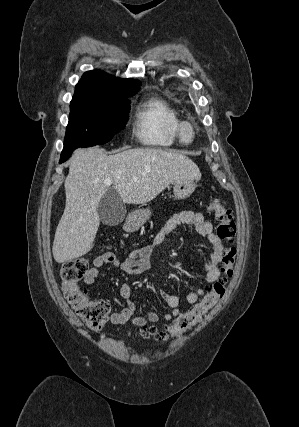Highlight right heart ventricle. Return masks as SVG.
<instances>
[{
	"label": "right heart ventricle",
	"instance_id": "right-heart-ventricle-1",
	"mask_svg": "<svg viewBox=\"0 0 299 427\" xmlns=\"http://www.w3.org/2000/svg\"><path fill=\"white\" fill-rule=\"evenodd\" d=\"M179 120L177 110L168 101L149 95L136 106L133 133L144 146L168 149L177 142L175 127Z\"/></svg>",
	"mask_w": 299,
	"mask_h": 427
}]
</instances>
